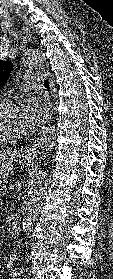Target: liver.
<instances>
[{
	"instance_id": "1",
	"label": "liver",
	"mask_w": 113,
	"mask_h": 279,
	"mask_svg": "<svg viewBox=\"0 0 113 279\" xmlns=\"http://www.w3.org/2000/svg\"><path fill=\"white\" fill-rule=\"evenodd\" d=\"M16 156H18L16 151L10 149L0 150V163L12 162Z\"/></svg>"
}]
</instances>
